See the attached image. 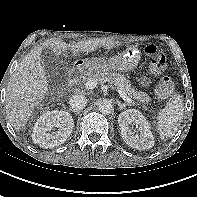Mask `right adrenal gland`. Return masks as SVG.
<instances>
[{
	"instance_id": "right-adrenal-gland-1",
	"label": "right adrenal gland",
	"mask_w": 197,
	"mask_h": 197,
	"mask_svg": "<svg viewBox=\"0 0 197 197\" xmlns=\"http://www.w3.org/2000/svg\"><path fill=\"white\" fill-rule=\"evenodd\" d=\"M69 111L74 112L76 115H78V114H79V112H75V111H73L72 109H69Z\"/></svg>"
}]
</instances>
